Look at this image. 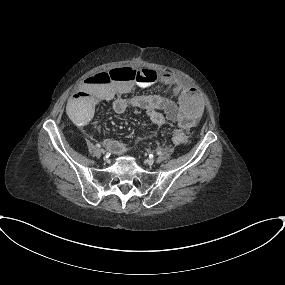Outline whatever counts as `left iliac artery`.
I'll use <instances>...</instances> for the list:
<instances>
[{
    "label": "left iliac artery",
    "mask_w": 285,
    "mask_h": 285,
    "mask_svg": "<svg viewBox=\"0 0 285 285\" xmlns=\"http://www.w3.org/2000/svg\"><path fill=\"white\" fill-rule=\"evenodd\" d=\"M157 154H158V155H161V151H157Z\"/></svg>",
    "instance_id": "obj_1"
}]
</instances>
